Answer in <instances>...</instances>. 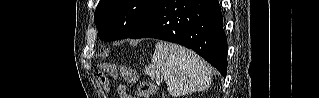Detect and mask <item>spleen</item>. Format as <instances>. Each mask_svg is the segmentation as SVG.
Wrapping results in <instances>:
<instances>
[{
  "instance_id": "obj_1",
  "label": "spleen",
  "mask_w": 319,
  "mask_h": 98,
  "mask_svg": "<svg viewBox=\"0 0 319 98\" xmlns=\"http://www.w3.org/2000/svg\"><path fill=\"white\" fill-rule=\"evenodd\" d=\"M144 73L159 83L165 82L174 97L205 90L212 79L211 67L196 53L166 42L156 44Z\"/></svg>"
}]
</instances>
